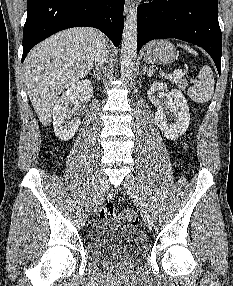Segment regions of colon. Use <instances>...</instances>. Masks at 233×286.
<instances>
[{
	"label": "colon",
	"mask_w": 233,
	"mask_h": 286,
	"mask_svg": "<svg viewBox=\"0 0 233 286\" xmlns=\"http://www.w3.org/2000/svg\"><path fill=\"white\" fill-rule=\"evenodd\" d=\"M100 218H112L115 216V206L112 202H106L100 209ZM119 219L134 226L140 224L139 217L129 209H123L119 213Z\"/></svg>",
	"instance_id": "1"
}]
</instances>
